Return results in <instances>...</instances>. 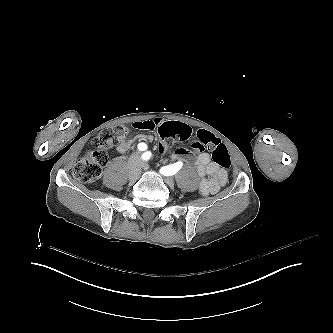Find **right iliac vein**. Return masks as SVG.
<instances>
[{
	"instance_id": "right-iliac-vein-1",
	"label": "right iliac vein",
	"mask_w": 333,
	"mask_h": 333,
	"mask_svg": "<svg viewBox=\"0 0 333 333\" xmlns=\"http://www.w3.org/2000/svg\"><path fill=\"white\" fill-rule=\"evenodd\" d=\"M140 176V166L137 164V158H132L130 160V170L128 168V177L129 179L135 181Z\"/></svg>"
}]
</instances>
